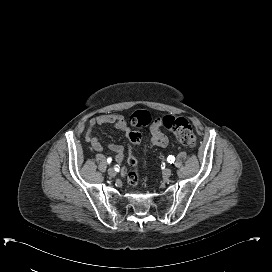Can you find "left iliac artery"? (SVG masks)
I'll return each instance as SVG.
<instances>
[{
    "label": "left iliac artery",
    "instance_id": "44dca946",
    "mask_svg": "<svg viewBox=\"0 0 272 272\" xmlns=\"http://www.w3.org/2000/svg\"><path fill=\"white\" fill-rule=\"evenodd\" d=\"M167 161L172 164L175 161V157L172 155H169L167 158Z\"/></svg>",
    "mask_w": 272,
    "mask_h": 272
}]
</instances>
